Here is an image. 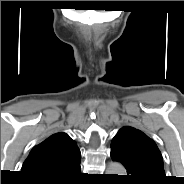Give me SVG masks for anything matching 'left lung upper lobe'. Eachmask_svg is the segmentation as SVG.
I'll use <instances>...</instances> for the list:
<instances>
[{
    "label": "left lung upper lobe",
    "instance_id": "5c2ea615",
    "mask_svg": "<svg viewBox=\"0 0 184 184\" xmlns=\"http://www.w3.org/2000/svg\"><path fill=\"white\" fill-rule=\"evenodd\" d=\"M111 148L121 153L146 179L166 181L162 155L155 142L142 131L122 127L113 138Z\"/></svg>",
    "mask_w": 184,
    "mask_h": 184
}]
</instances>
